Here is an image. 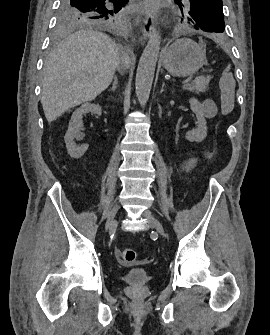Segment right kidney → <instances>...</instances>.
<instances>
[{
	"mask_svg": "<svg viewBox=\"0 0 270 335\" xmlns=\"http://www.w3.org/2000/svg\"><path fill=\"white\" fill-rule=\"evenodd\" d=\"M88 112H93V114H98V116H101V106H98V104H90V102H85V104H82L80 108H77V110L73 112L72 118L69 122L68 130L65 134L67 152L69 156H71V158H75V160L82 158L83 154H85L86 150H88V144H83V146H76L74 142V138H77V136H82L79 130L83 126V114H88Z\"/></svg>",
	"mask_w": 270,
	"mask_h": 335,
	"instance_id": "obj_1",
	"label": "right kidney"
}]
</instances>
